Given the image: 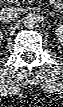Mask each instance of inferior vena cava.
I'll return each mask as SVG.
<instances>
[{
  "label": "inferior vena cava",
  "instance_id": "1",
  "mask_svg": "<svg viewBox=\"0 0 63 107\" xmlns=\"http://www.w3.org/2000/svg\"><path fill=\"white\" fill-rule=\"evenodd\" d=\"M18 13L17 10L13 7H7V8H3L0 11V21L2 23H9L12 22L16 19Z\"/></svg>",
  "mask_w": 63,
  "mask_h": 107
}]
</instances>
